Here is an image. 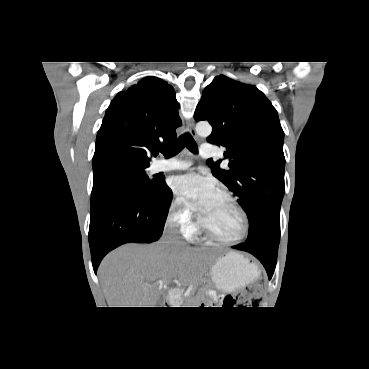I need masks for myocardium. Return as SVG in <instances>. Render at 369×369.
Here are the masks:
<instances>
[{
    "instance_id": "f54148a6",
    "label": "myocardium",
    "mask_w": 369,
    "mask_h": 369,
    "mask_svg": "<svg viewBox=\"0 0 369 369\" xmlns=\"http://www.w3.org/2000/svg\"><path fill=\"white\" fill-rule=\"evenodd\" d=\"M217 194L225 197L226 199H228L233 205L234 207L238 210L241 219H242V230L241 233L234 238H224L221 237L217 234H215L214 232H212L211 230H209L203 223L201 216L198 218V229L199 231L204 234L207 238L220 242V243H224V244H235V243H239L243 240L246 239V237L248 236L249 233V220H248V216L246 211L244 210V208L242 207V205L238 202V200L228 191L225 190H218Z\"/></svg>"
}]
</instances>
